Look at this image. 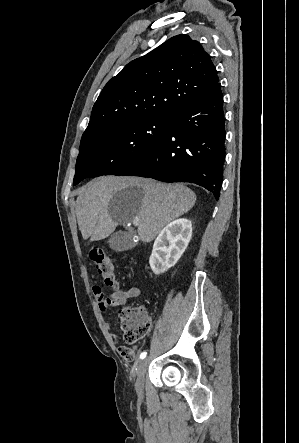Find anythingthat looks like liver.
Segmentation results:
<instances>
[{"mask_svg":"<svg viewBox=\"0 0 299 443\" xmlns=\"http://www.w3.org/2000/svg\"><path fill=\"white\" fill-rule=\"evenodd\" d=\"M195 193L180 184H164L148 178L104 176L81 188L76 216L84 240L99 241L118 225L139 218L140 240L149 243L171 221L187 213Z\"/></svg>","mask_w":299,"mask_h":443,"instance_id":"obj_1","label":"liver"}]
</instances>
